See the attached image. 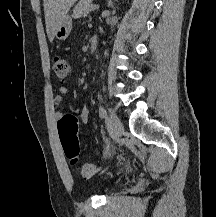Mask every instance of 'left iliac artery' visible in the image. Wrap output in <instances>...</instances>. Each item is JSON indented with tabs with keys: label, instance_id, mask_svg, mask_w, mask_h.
Listing matches in <instances>:
<instances>
[{
	"label": "left iliac artery",
	"instance_id": "44dca946",
	"mask_svg": "<svg viewBox=\"0 0 216 217\" xmlns=\"http://www.w3.org/2000/svg\"><path fill=\"white\" fill-rule=\"evenodd\" d=\"M107 115L106 113V109L103 107V106H100L99 107V116L101 119L105 118ZM110 149V142L108 139H106V147H105V150H104V156L107 155L108 151Z\"/></svg>",
	"mask_w": 216,
	"mask_h": 217
}]
</instances>
